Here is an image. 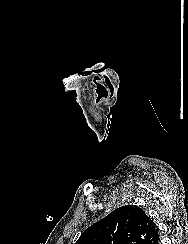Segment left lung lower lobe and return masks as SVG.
<instances>
[{
	"label": "left lung lower lobe",
	"instance_id": "obj_1",
	"mask_svg": "<svg viewBox=\"0 0 188 244\" xmlns=\"http://www.w3.org/2000/svg\"><path fill=\"white\" fill-rule=\"evenodd\" d=\"M151 244H159V235L151 242Z\"/></svg>",
	"mask_w": 188,
	"mask_h": 244
}]
</instances>
